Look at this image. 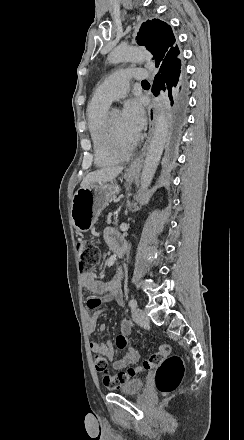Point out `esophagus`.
Instances as JSON below:
<instances>
[{
  "label": "esophagus",
  "instance_id": "34e87169",
  "mask_svg": "<svg viewBox=\"0 0 244 440\" xmlns=\"http://www.w3.org/2000/svg\"><path fill=\"white\" fill-rule=\"evenodd\" d=\"M157 107H158V102L154 98L148 107L149 127H148L147 139H146L139 155L130 163V165L127 168L128 173H132L133 175L139 174L140 170L142 168L145 154H146V151L149 147L150 141L152 139L153 131H154Z\"/></svg>",
  "mask_w": 244,
  "mask_h": 440
}]
</instances>
